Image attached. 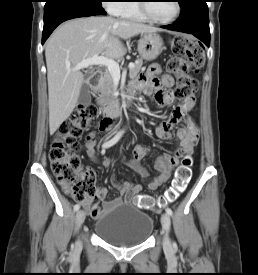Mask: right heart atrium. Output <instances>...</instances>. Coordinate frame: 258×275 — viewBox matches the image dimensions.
I'll use <instances>...</instances> for the list:
<instances>
[{
  "instance_id": "obj_1",
  "label": "right heart atrium",
  "mask_w": 258,
  "mask_h": 275,
  "mask_svg": "<svg viewBox=\"0 0 258 275\" xmlns=\"http://www.w3.org/2000/svg\"><path fill=\"white\" fill-rule=\"evenodd\" d=\"M105 2H106L105 5L109 9V11L113 14H116L117 10L122 5V3H119V2H122L121 0H106Z\"/></svg>"
}]
</instances>
